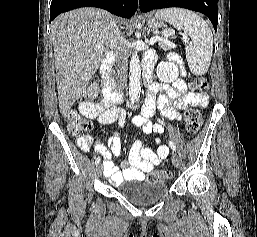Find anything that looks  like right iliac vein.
<instances>
[{
	"instance_id": "obj_1",
	"label": "right iliac vein",
	"mask_w": 257,
	"mask_h": 237,
	"mask_svg": "<svg viewBox=\"0 0 257 237\" xmlns=\"http://www.w3.org/2000/svg\"><path fill=\"white\" fill-rule=\"evenodd\" d=\"M96 170H97L98 176H101L102 175V171H103L102 165L98 164L97 167H96Z\"/></svg>"
}]
</instances>
